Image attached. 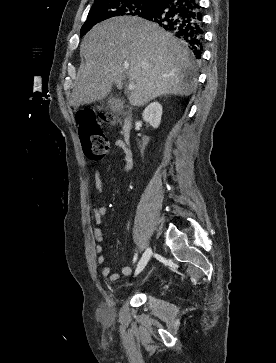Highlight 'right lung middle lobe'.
<instances>
[{
  "mask_svg": "<svg viewBox=\"0 0 276 363\" xmlns=\"http://www.w3.org/2000/svg\"><path fill=\"white\" fill-rule=\"evenodd\" d=\"M157 5L143 0H99L92 5L87 20L81 28V36L93 26L116 16L144 17L152 13Z\"/></svg>",
  "mask_w": 276,
  "mask_h": 363,
  "instance_id": "obj_1",
  "label": "right lung middle lobe"
}]
</instances>
